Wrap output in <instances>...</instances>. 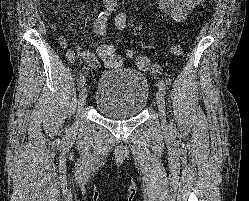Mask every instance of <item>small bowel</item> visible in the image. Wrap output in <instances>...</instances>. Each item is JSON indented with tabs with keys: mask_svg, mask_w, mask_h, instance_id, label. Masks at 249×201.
Returning a JSON list of instances; mask_svg holds the SVG:
<instances>
[{
	"mask_svg": "<svg viewBox=\"0 0 249 201\" xmlns=\"http://www.w3.org/2000/svg\"><path fill=\"white\" fill-rule=\"evenodd\" d=\"M204 1L205 0H160L159 6L171 19L176 22H181L188 17L192 10L202 6ZM96 32L100 34L99 31L96 30ZM59 43L65 50L69 62L72 63L78 58L84 60L89 68L98 66L97 57L93 52L81 50L77 47L74 50L68 48L67 38L65 36L60 37Z\"/></svg>",
	"mask_w": 249,
	"mask_h": 201,
	"instance_id": "c3829d8e",
	"label": "small bowel"
}]
</instances>
